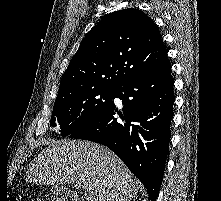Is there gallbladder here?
Instances as JSON below:
<instances>
[{
	"instance_id": "obj_1",
	"label": "gallbladder",
	"mask_w": 221,
	"mask_h": 201,
	"mask_svg": "<svg viewBox=\"0 0 221 201\" xmlns=\"http://www.w3.org/2000/svg\"><path fill=\"white\" fill-rule=\"evenodd\" d=\"M50 193L53 196H59V197H64V198H70L73 196V193L71 190H69L68 188H65L63 186H54L52 188H50ZM73 201V200H72Z\"/></svg>"
}]
</instances>
